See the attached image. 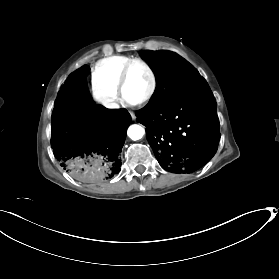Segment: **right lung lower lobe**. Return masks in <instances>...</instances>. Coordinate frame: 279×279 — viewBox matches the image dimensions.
I'll return each instance as SVG.
<instances>
[{
    "instance_id": "98d812e1",
    "label": "right lung lower lobe",
    "mask_w": 279,
    "mask_h": 279,
    "mask_svg": "<svg viewBox=\"0 0 279 279\" xmlns=\"http://www.w3.org/2000/svg\"><path fill=\"white\" fill-rule=\"evenodd\" d=\"M87 66L69 76L53 112L51 146L60 166L77 180L97 184L120 171L130 115L96 104L86 86Z\"/></svg>"
}]
</instances>
